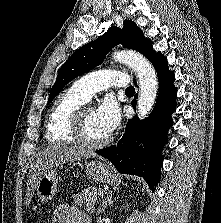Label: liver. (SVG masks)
Returning <instances> with one entry per match:
<instances>
[{"label":"liver","mask_w":221,"mask_h":223,"mask_svg":"<svg viewBox=\"0 0 221 223\" xmlns=\"http://www.w3.org/2000/svg\"><path fill=\"white\" fill-rule=\"evenodd\" d=\"M94 156L90 150L65 143L52 144L36 154L28 176L26 203H29L41 176L55 166Z\"/></svg>","instance_id":"1"}]
</instances>
